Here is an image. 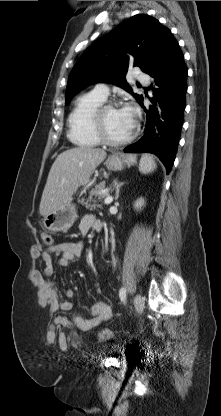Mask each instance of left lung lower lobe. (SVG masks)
<instances>
[{"label":"left lung lower lobe","instance_id":"obj_1","mask_svg":"<svg viewBox=\"0 0 221 416\" xmlns=\"http://www.w3.org/2000/svg\"><path fill=\"white\" fill-rule=\"evenodd\" d=\"M187 72L183 53L168 29L146 72L157 86L152 88V105L146 108L143 99L139 103L146 112L145 134L124 149L125 152L155 154L165 165L167 174L175 160L183 124Z\"/></svg>","mask_w":221,"mask_h":416}]
</instances>
